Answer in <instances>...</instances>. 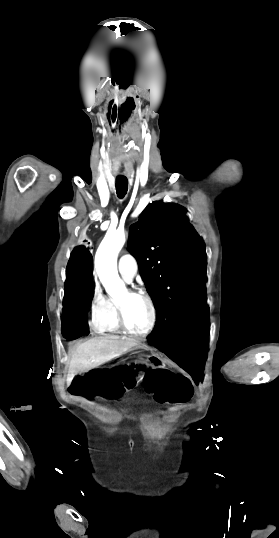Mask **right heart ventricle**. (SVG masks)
<instances>
[{
	"instance_id": "obj_1",
	"label": "right heart ventricle",
	"mask_w": 279,
	"mask_h": 538,
	"mask_svg": "<svg viewBox=\"0 0 279 538\" xmlns=\"http://www.w3.org/2000/svg\"><path fill=\"white\" fill-rule=\"evenodd\" d=\"M101 230L108 229V234L116 235L121 241H124L125 230L123 228L115 229L108 228V226L100 227ZM117 297L108 296L105 297V312L102 320L96 325V330L100 332H123L120 327L117 315Z\"/></svg>"
}]
</instances>
